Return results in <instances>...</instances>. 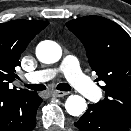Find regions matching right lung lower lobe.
<instances>
[{
    "mask_svg": "<svg viewBox=\"0 0 131 131\" xmlns=\"http://www.w3.org/2000/svg\"><path fill=\"white\" fill-rule=\"evenodd\" d=\"M42 99L34 91L0 95V131H32Z\"/></svg>",
    "mask_w": 131,
    "mask_h": 131,
    "instance_id": "right-lung-lower-lobe-1",
    "label": "right lung lower lobe"
}]
</instances>
